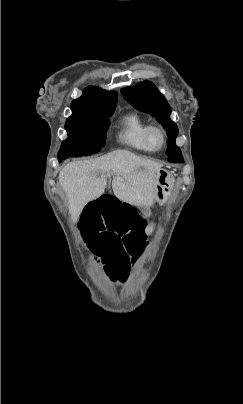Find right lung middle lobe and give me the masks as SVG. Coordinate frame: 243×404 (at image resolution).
<instances>
[{
  "label": "right lung middle lobe",
  "instance_id": "right-lung-middle-lobe-1",
  "mask_svg": "<svg viewBox=\"0 0 243 404\" xmlns=\"http://www.w3.org/2000/svg\"><path fill=\"white\" fill-rule=\"evenodd\" d=\"M115 107L89 114L69 117L65 124L68 138L61 144L58 160L97 153L105 145L109 117Z\"/></svg>",
  "mask_w": 243,
  "mask_h": 404
}]
</instances>
